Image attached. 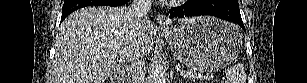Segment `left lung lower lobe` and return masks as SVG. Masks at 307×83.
Segmentation results:
<instances>
[{"instance_id":"obj_1","label":"left lung lower lobe","mask_w":307,"mask_h":83,"mask_svg":"<svg viewBox=\"0 0 307 83\" xmlns=\"http://www.w3.org/2000/svg\"><path fill=\"white\" fill-rule=\"evenodd\" d=\"M211 15L236 22L244 31L238 0H188L182 6L170 9V18L177 16Z\"/></svg>"}]
</instances>
